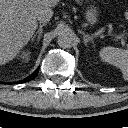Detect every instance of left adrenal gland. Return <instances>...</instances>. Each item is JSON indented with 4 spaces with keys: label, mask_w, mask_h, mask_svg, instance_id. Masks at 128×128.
<instances>
[{
    "label": "left adrenal gland",
    "mask_w": 128,
    "mask_h": 128,
    "mask_svg": "<svg viewBox=\"0 0 128 128\" xmlns=\"http://www.w3.org/2000/svg\"><path fill=\"white\" fill-rule=\"evenodd\" d=\"M79 33L83 35L84 44L87 46V43L92 41V37L81 30H79Z\"/></svg>",
    "instance_id": "left-adrenal-gland-1"
}]
</instances>
